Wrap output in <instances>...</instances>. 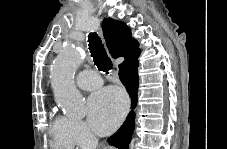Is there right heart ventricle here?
Returning <instances> with one entry per match:
<instances>
[{
	"mask_svg": "<svg viewBox=\"0 0 227 149\" xmlns=\"http://www.w3.org/2000/svg\"><path fill=\"white\" fill-rule=\"evenodd\" d=\"M50 134L52 137V144L70 148L74 145L68 129V119L55 116L51 121Z\"/></svg>",
	"mask_w": 227,
	"mask_h": 149,
	"instance_id": "e07e8e85",
	"label": "right heart ventricle"
}]
</instances>
